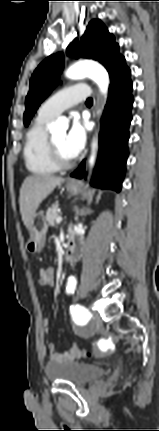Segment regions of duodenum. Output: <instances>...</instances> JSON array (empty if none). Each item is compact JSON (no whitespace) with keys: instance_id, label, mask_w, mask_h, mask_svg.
I'll list each match as a JSON object with an SVG mask.
<instances>
[{"instance_id":"duodenum-1","label":"duodenum","mask_w":159,"mask_h":431,"mask_svg":"<svg viewBox=\"0 0 159 431\" xmlns=\"http://www.w3.org/2000/svg\"><path fill=\"white\" fill-rule=\"evenodd\" d=\"M83 248L84 242L82 238L71 231L65 261L68 263L76 261L82 255Z\"/></svg>"}]
</instances>
